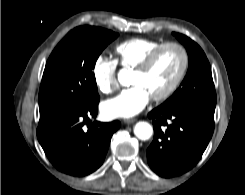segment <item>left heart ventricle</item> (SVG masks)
<instances>
[{
  "label": "left heart ventricle",
  "instance_id": "left-heart-ventricle-1",
  "mask_svg": "<svg viewBox=\"0 0 245 195\" xmlns=\"http://www.w3.org/2000/svg\"><path fill=\"white\" fill-rule=\"evenodd\" d=\"M181 62V53L177 48H166L160 52L147 71L133 72L131 82L133 85L144 87L151 97L158 95L175 80Z\"/></svg>",
  "mask_w": 245,
  "mask_h": 195
}]
</instances>
